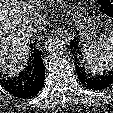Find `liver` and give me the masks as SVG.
<instances>
[{
	"label": "liver",
	"mask_w": 113,
	"mask_h": 113,
	"mask_svg": "<svg viewBox=\"0 0 113 113\" xmlns=\"http://www.w3.org/2000/svg\"><path fill=\"white\" fill-rule=\"evenodd\" d=\"M38 16L30 3L19 0H0V68L8 76L19 73L29 54L28 27Z\"/></svg>",
	"instance_id": "1"
}]
</instances>
